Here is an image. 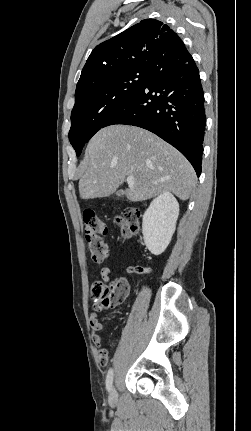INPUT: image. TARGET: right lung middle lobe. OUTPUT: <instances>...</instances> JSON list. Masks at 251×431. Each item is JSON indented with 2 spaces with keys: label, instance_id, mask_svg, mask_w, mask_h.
I'll use <instances>...</instances> for the list:
<instances>
[{
  "label": "right lung middle lobe",
  "instance_id": "right-lung-middle-lobe-1",
  "mask_svg": "<svg viewBox=\"0 0 251 431\" xmlns=\"http://www.w3.org/2000/svg\"><path fill=\"white\" fill-rule=\"evenodd\" d=\"M147 68H136L75 94L69 140L77 156L83 146L143 85Z\"/></svg>",
  "mask_w": 251,
  "mask_h": 431
}]
</instances>
